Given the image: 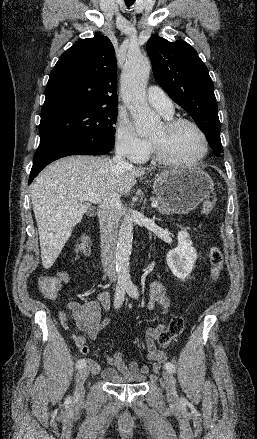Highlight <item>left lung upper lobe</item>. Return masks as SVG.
I'll return each mask as SVG.
<instances>
[{
    "label": "left lung upper lobe",
    "instance_id": "1",
    "mask_svg": "<svg viewBox=\"0 0 257 439\" xmlns=\"http://www.w3.org/2000/svg\"><path fill=\"white\" fill-rule=\"evenodd\" d=\"M147 53L157 83L192 116L219 156L223 148L214 85L196 50L185 41L169 42L153 35Z\"/></svg>",
    "mask_w": 257,
    "mask_h": 439
}]
</instances>
